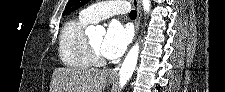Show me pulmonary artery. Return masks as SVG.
Segmentation results:
<instances>
[{
	"mask_svg": "<svg viewBox=\"0 0 225 92\" xmlns=\"http://www.w3.org/2000/svg\"><path fill=\"white\" fill-rule=\"evenodd\" d=\"M127 4L120 1L100 2L85 8L81 16L92 23L106 19L114 14L124 13Z\"/></svg>",
	"mask_w": 225,
	"mask_h": 92,
	"instance_id": "e3ab8cb5",
	"label": "pulmonary artery"
}]
</instances>
